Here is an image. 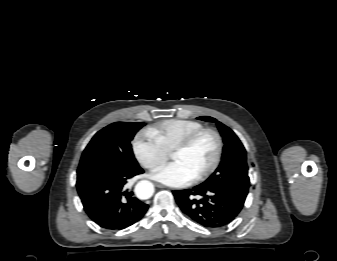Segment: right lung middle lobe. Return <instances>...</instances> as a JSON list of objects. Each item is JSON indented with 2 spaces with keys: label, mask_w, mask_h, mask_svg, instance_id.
<instances>
[{
  "label": "right lung middle lobe",
  "mask_w": 337,
  "mask_h": 261,
  "mask_svg": "<svg viewBox=\"0 0 337 261\" xmlns=\"http://www.w3.org/2000/svg\"><path fill=\"white\" fill-rule=\"evenodd\" d=\"M145 124L116 122L97 132L85 148L77 170V188L138 168L131 140Z\"/></svg>",
  "instance_id": "dd1d6c3e"
}]
</instances>
